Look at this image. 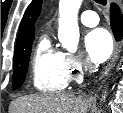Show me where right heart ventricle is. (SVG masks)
<instances>
[{
	"label": "right heart ventricle",
	"mask_w": 123,
	"mask_h": 113,
	"mask_svg": "<svg viewBox=\"0 0 123 113\" xmlns=\"http://www.w3.org/2000/svg\"><path fill=\"white\" fill-rule=\"evenodd\" d=\"M32 83L42 92L54 93L66 88L64 53L52 46L48 36L39 40L32 61Z\"/></svg>",
	"instance_id": "obj_1"
}]
</instances>
